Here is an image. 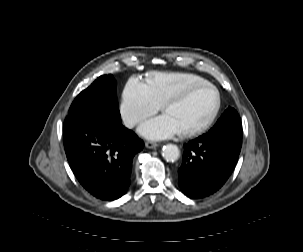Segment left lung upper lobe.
Listing matches in <instances>:
<instances>
[{"instance_id":"5c2ea615","label":"left lung upper lobe","mask_w":303,"mask_h":252,"mask_svg":"<svg viewBox=\"0 0 303 252\" xmlns=\"http://www.w3.org/2000/svg\"><path fill=\"white\" fill-rule=\"evenodd\" d=\"M210 138H242V125L239 114L229 107L216 122V124L204 134Z\"/></svg>"}]
</instances>
